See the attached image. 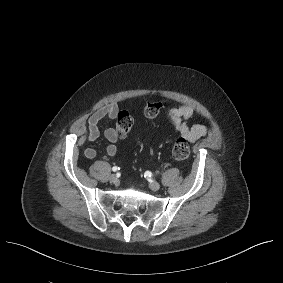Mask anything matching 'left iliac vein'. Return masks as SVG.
I'll list each match as a JSON object with an SVG mask.
<instances>
[{"label": "left iliac vein", "mask_w": 283, "mask_h": 283, "mask_svg": "<svg viewBox=\"0 0 283 283\" xmlns=\"http://www.w3.org/2000/svg\"><path fill=\"white\" fill-rule=\"evenodd\" d=\"M149 186H150V189L153 191H158L160 189V184L156 181L150 182Z\"/></svg>", "instance_id": "left-iliac-vein-1"}]
</instances>
